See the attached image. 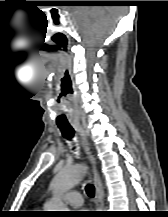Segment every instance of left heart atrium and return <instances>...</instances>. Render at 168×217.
<instances>
[{
	"instance_id": "left-heart-atrium-1",
	"label": "left heart atrium",
	"mask_w": 168,
	"mask_h": 217,
	"mask_svg": "<svg viewBox=\"0 0 168 217\" xmlns=\"http://www.w3.org/2000/svg\"><path fill=\"white\" fill-rule=\"evenodd\" d=\"M84 215H86L84 212H80L77 214V217H83Z\"/></svg>"
}]
</instances>
